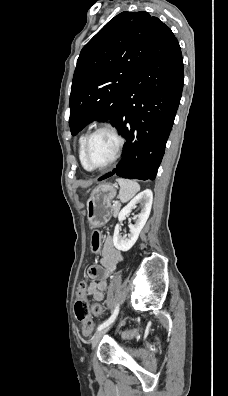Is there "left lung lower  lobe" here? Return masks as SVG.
<instances>
[{
    "mask_svg": "<svg viewBox=\"0 0 228 396\" xmlns=\"http://www.w3.org/2000/svg\"><path fill=\"white\" fill-rule=\"evenodd\" d=\"M183 59L172 31L162 27L119 109L115 124L125 137L123 158L113 174L154 180L183 89Z\"/></svg>",
    "mask_w": 228,
    "mask_h": 396,
    "instance_id": "obj_1",
    "label": "left lung lower lobe"
}]
</instances>
